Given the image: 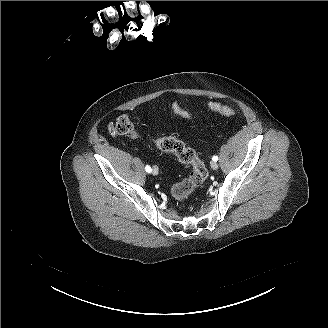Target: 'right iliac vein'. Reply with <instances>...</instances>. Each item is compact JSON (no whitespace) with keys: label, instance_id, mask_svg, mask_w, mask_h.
<instances>
[{"label":"right iliac vein","instance_id":"1","mask_svg":"<svg viewBox=\"0 0 328 328\" xmlns=\"http://www.w3.org/2000/svg\"><path fill=\"white\" fill-rule=\"evenodd\" d=\"M158 173H159V170H158V168H157L156 166H153V169H152V174H153L154 176H157V175H158Z\"/></svg>","mask_w":328,"mask_h":328}]
</instances>
